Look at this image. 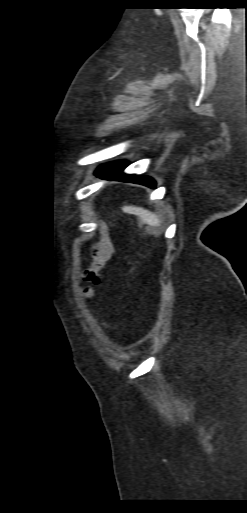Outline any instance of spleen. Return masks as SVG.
Returning a JSON list of instances; mask_svg holds the SVG:
<instances>
[{"label":"spleen","mask_w":247,"mask_h":513,"mask_svg":"<svg viewBox=\"0 0 247 513\" xmlns=\"http://www.w3.org/2000/svg\"><path fill=\"white\" fill-rule=\"evenodd\" d=\"M123 211L139 216L144 223L150 226H156L159 223L158 217L154 213L144 208L136 206H124Z\"/></svg>","instance_id":"obj_1"}]
</instances>
